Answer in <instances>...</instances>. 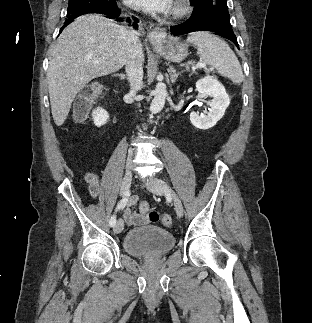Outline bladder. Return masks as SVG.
<instances>
[{
    "mask_svg": "<svg viewBox=\"0 0 312 323\" xmlns=\"http://www.w3.org/2000/svg\"><path fill=\"white\" fill-rule=\"evenodd\" d=\"M175 239L168 231L159 227H141L130 229L124 238V251L132 257L161 256L174 246Z\"/></svg>",
    "mask_w": 312,
    "mask_h": 323,
    "instance_id": "obj_1",
    "label": "bladder"
}]
</instances>
